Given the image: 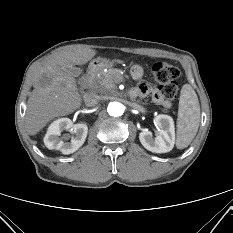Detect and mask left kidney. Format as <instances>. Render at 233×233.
I'll use <instances>...</instances> for the list:
<instances>
[{"instance_id":"left-kidney-1","label":"left kidney","mask_w":233,"mask_h":233,"mask_svg":"<svg viewBox=\"0 0 233 233\" xmlns=\"http://www.w3.org/2000/svg\"><path fill=\"white\" fill-rule=\"evenodd\" d=\"M155 125L158 127L156 137L144 129L139 134V140L144 148L154 153H167L173 149L175 143V127L172 117L160 114L155 117Z\"/></svg>"}]
</instances>
